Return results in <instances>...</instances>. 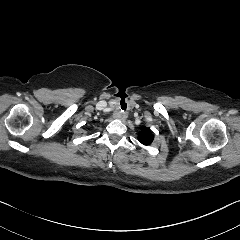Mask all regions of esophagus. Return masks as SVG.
<instances>
[{"label":"esophagus","instance_id":"1","mask_svg":"<svg viewBox=\"0 0 240 240\" xmlns=\"http://www.w3.org/2000/svg\"><path fill=\"white\" fill-rule=\"evenodd\" d=\"M116 116H118L119 118H122L124 120L127 118V115L125 113H121V112H117Z\"/></svg>","mask_w":240,"mask_h":240}]
</instances>
